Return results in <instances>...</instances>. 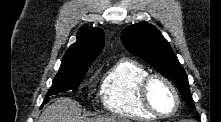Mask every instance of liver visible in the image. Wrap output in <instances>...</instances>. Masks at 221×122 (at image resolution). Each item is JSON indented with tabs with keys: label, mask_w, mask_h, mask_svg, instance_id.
Listing matches in <instances>:
<instances>
[{
	"label": "liver",
	"mask_w": 221,
	"mask_h": 122,
	"mask_svg": "<svg viewBox=\"0 0 221 122\" xmlns=\"http://www.w3.org/2000/svg\"><path fill=\"white\" fill-rule=\"evenodd\" d=\"M38 122H130L120 117L84 118L79 104L70 98L61 97L42 112Z\"/></svg>",
	"instance_id": "6515ba94"
}]
</instances>
